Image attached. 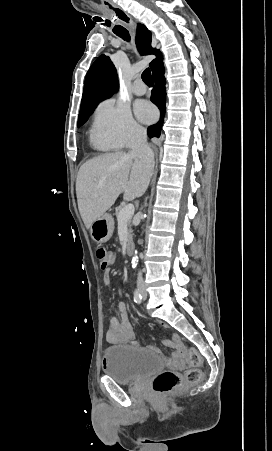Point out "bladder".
Instances as JSON below:
<instances>
[{
  "label": "bladder",
  "mask_w": 272,
  "mask_h": 451,
  "mask_svg": "<svg viewBox=\"0 0 272 451\" xmlns=\"http://www.w3.org/2000/svg\"><path fill=\"white\" fill-rule=\"evenodd\" d=\"M104 372L118 384H132L143 380L154 372L161 371L163 358L158 354H146L134 347L113 345L103 353Z\"/></svg>",
  "instance_id": "31cf9c89"
}]
</instances>
